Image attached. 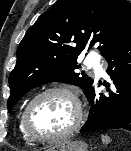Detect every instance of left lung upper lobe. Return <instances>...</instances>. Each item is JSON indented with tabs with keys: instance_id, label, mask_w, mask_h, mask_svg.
Masks as SVG:
<instances>
[{
	"instance_id": "1",
	"label": "left lung upper lobe",
	"mask_w": 131,
	"mask_h": 151,
	"mask_svg": "<svg viewBox=\"0 0 131 151\" xmlns=\"http://www.w3.org/2000/svg\"><path fill=\"white\" fill-rule=\"evenodd\" d=\"M129 39L131 7L126 0H57L18 46L8 79V111L31 88L53 81L77 85L86 95L94 80L75 72L81 52L96 45L105 57Z\"/></svg>"
}]
</instances>
